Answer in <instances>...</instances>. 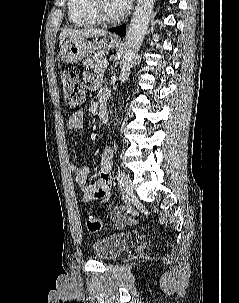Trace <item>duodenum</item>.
<instances>
[{
	"label": "duodenum",
	"mask_w": 239,
	"mask_h": 303,
	"mask_svg": "<svg viewBox=\"0 0 239 303\" xmlns=\"http://www.w3.org/2000/svg\"><path fill=\"white\" fill-rule=\"evenodd\" d=\"M98 117L101 123L105 124L109 121L108 109L104 106H101L98 109Z\"/></svg>",
	"instance_id": "410a0bca"
}]
</instances>
